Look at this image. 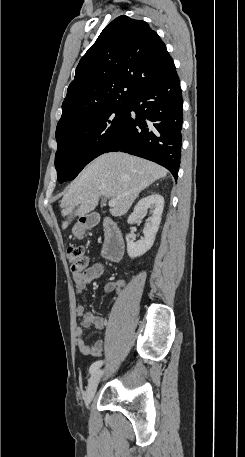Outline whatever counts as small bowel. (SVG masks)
<instances>
[{
    "label": "small bowel",
    "instance_id": "obj_1",
    "mask_svg": "<svg viewBox=\"0 0 245 457\" xmlns=\"http://www.w3.org/2000/svg\"><path fill=\"white\" fill-rule=\"evenodd\" d=\"M106 268L103 264H94L83 271L73 270V280L76 283L78 292H81L86 285L99 279ZM123 280H115L105 285V292L117 297L124 287ZM77 314L80 319V325L75 330L76 345L79 352L86 356L98 357L103 353L113 350H119L124 344V337L117 330L107 328L103 339L97 340L93 345H88L85 341V330L93 328L100 330L104 327V320L89 312H85L82 306H78Z\"/></svg>",
    "mask_w": 245,
    "mask_h": 457
}]
</instances>
